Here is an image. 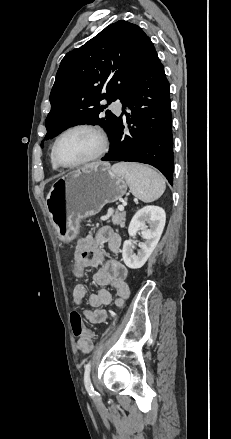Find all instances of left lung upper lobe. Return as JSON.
Instances as JSON below:
<instances>
[{
  "label": "left lung upper lobe",
  "instance_id": "left-lung-upper-lobe-1",
  "mask_svg": "<svg viewBox=\"0 0 231 439\" xmlns=\"http://www.w3.org/2000/svg\"><path fill=\"white\" fill-rule=\"evenodd\" d=\"M153 47L139 26L119 20L68 52L51 90L47 134L41 147L45 140L78 124L101 125L111 138L118 116L104 111L112 101H123ZM103 99L108 104L101 105Z\"/></svg>",
  "mask_w": 231,
  "mask_h": 439
}]
</instances>
